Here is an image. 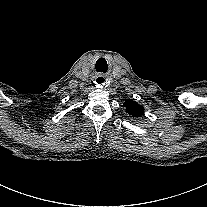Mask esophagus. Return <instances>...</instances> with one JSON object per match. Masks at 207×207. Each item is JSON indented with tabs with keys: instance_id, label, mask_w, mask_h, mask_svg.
Here are the masks:
<instances>
[{
	"instance_id": "esophagus-1",
	"label": "esophagus",
	"mask_w": 207,
	"mask_h": 207,
	"mask_svg": "<svg viewBox=\"0 0 207 207\" xmlns=\"http://www.w3.org/2000/svg\"><path fill=\"white\" fill-rule=\"evenodd\" d=\"M94 82L97 86L102 87L106 84L107 79L104 75L99 74L95 77Z\"/></svg>"
}]
</instances>
